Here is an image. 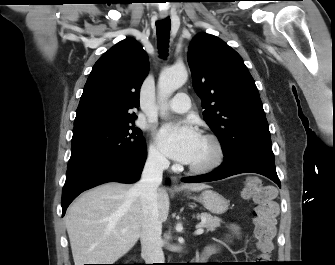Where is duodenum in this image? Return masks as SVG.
I'll return each mask as SVG.
<instances>
[{
    "instance_id": "410a0bca",
    "label": "duodenum",
    "mask_w": 335,
    "mask_h": 265,
    "mask_svg": "<svg viewBox=\"0 0 335 265\" xmlns=\"http://www.w3.org/2000/svg\"><path fill=\"white\" fill-rule=\"evenodd\" d=\"M215 251V248L213 246H208L204 249V251L197 257L198 261H204L207 259V257Z\"/></svg>"
}]
</instances>
